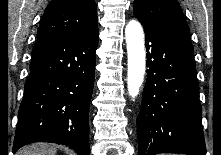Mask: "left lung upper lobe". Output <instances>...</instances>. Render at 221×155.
<instances>
[{
    "instance_id": "obj_1",
    "label": "left lung upper lobe",
    "mask_w": 221,
    "mask_h": 155,
    "mask_svg": "<svg viewBox=\"0 0 221 155\" xmlns=\"http://www.w3.org/2000/svg\"><path fill=\"white\" fill-rule=\"evenodd\" d=\"M133 13L190 39L189 27L177 0H134Z\"/></svg>"
}]
</instances>
